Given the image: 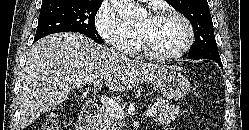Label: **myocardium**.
Segmentation results:
<instances>
[{
    "instance_id": "obj_1",
    "label": "myocardium",
    "mask_w": 249,
    "mask_h": 130,
    "mask_svg": "<svg viewBox=\"0 0 249 130\" xmlns=\"http://www.w3.org/2000/svg\"><path fill=\"white\" fill-rule=\"evenodd\" d=\"M153 16H169L178 19L184 25L186 36L182 44L176 50L169 53H156L149 49L144 38L137 31L139 48L140 51L143 53V55L151 60L167 61V60L176 59L182 56L184 53H186L188 49L191 47L195 37L194 28L189 19L180 12L173 9L160 10L156 12Z\"/></svg>"
}]
</instances>
